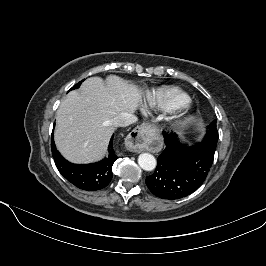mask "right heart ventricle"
<instances>
[{
  "instance_id": "1",
  "label": "right heart ventricle",
  "mask_w": 266,
  "mask_h": 266,
  "mask_svg": "<svg viewBox=\"0 0 266 266\" xmlns=\"http://www.w3.org/2000/svg\"><path fill=\"white\" fill-rule=\"evenodd\" d=\"M191 102L189 95L176 87H162L147 96L150 109L170 113L187 107Z\"/></svg>"
}]
</instances>
